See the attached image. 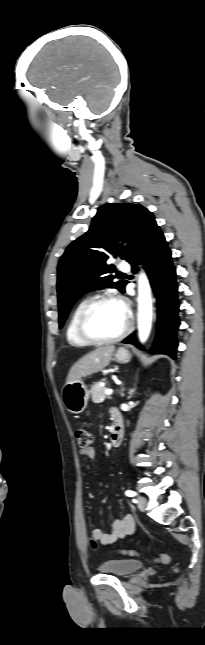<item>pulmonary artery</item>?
Segmentation results:
<instances>
[{"label": "pulmonary artery", "instance_id": "pulmonary-artery-1", "mask_svg": "<svg viewBox=\"0 0 205 645\" xmlns=\"http://www.w3.org/2000/svg\"><path fill=\"white\" fill-rule=\"evenodd\" d=\"M118 269H119L120 271H124V272H125V271H129V270H130V266H129V264H128L127 262H124V261H123V262H120V263H119V265H118Z\"/></svg>", "mask_w": 205, "mask_h": 645}]
</instances>
